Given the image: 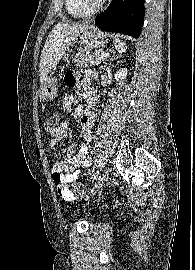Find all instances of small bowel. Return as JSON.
Wrapping results in <instances>:
<instances>
[{"instance_id":"c3829d8e","label":"small bowel","mask_w":195,"mask_h":270,"mask_svg":"<svg viewBox=\"0 0 195 270\" xmlns=\"http://www.w3.org/2000/svg\"><path fill=\"white\" fill-rule=\"evenodd\" d=\"M65 82L70 87L83 84L86 98V104L80 105L74 110V116L78 120L82 131V143L77 151L75 144L70 145L64 158L55 162L52 167V177L57 184L59 195L67 201H73L76 198L75 193L67 184L74 182L78 178L82 168L91 165L87 144L93 139V123L96 118L94 105L97 101V95L90 87L91 78L88 74L70 71L66 74ZM73 104V96H65L62 102L63 111L66 114L71 113ZM69 128V123L64 121L49 131L51 135L49 145L52 149L57 148L60 141L67 137Z\"/></svg>"}]
</instances>
